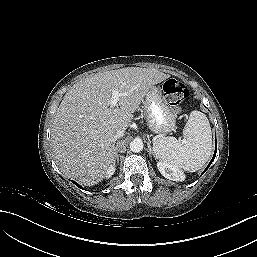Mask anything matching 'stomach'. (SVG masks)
I'll list each match as a JSON object with an SVG mask.
<instances>
[{"label": "stomach", "instance_id": "obj_1", "mask_svg": "<svg viewBox=\"0 0 257 257\" xmlns=\"http://www.w3.org/2000/svg\"><path fill=\"white\" fill-rule=\"evenodd\" d=\"M143 109L151 132L165 135L174 130L176 117L160 88L153 86L147 92L143 100Z\"/></svg>", "mask_w": 257, "mask_h": 257}]
</instances>
